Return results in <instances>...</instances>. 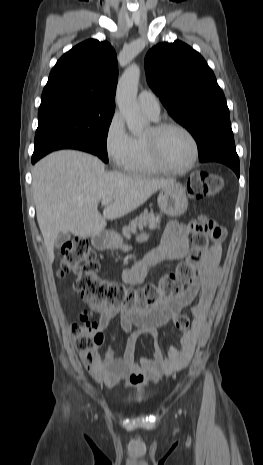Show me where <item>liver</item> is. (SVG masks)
Segmentation results:
<instances>
[{
  "label": "liver",
  "instance_id": "liver-1",
  "mask_svg": "<svg viewBox=\"0 0 263 465\" xmlns=\"http://www.w3.org/2000/svg\"><path fill=\"white\" fill-rule=\"evenodd\" d=\"M174 183V179L106 172L100 159L80 151L47 155L34 167L32 189L50 262L54 261V243L60 233L98 235L106 227V220L125 216L156 191ZM105 198L114 201L101 215L98 204Z\"/></svg>",
  "mask_w": 263,
  "mask_h": 465
}]
</instances>
